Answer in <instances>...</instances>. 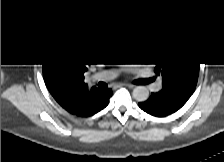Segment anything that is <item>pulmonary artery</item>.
<instances>
[{"label": "pulmonary artery", "mask_w": 224, "mask_h": 162, "mask_svg": "<svg viewBox=\"0 0 224 162\" xmlns=\"http://www.w3.org/2000/svg\"><path fill=\"white\" fill-rule=\"evenodd\" d=\"M116 76V73L115 72H108V73H106L105 75H103L102 77L104 78V79H111V78H113V77H115Z\"/></svg>", "instance_id": "obj_1"}]
</instances>
